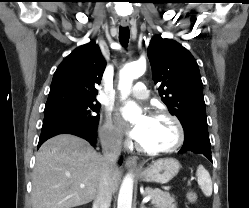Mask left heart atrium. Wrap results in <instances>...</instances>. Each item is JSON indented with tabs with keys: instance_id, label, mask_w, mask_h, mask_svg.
Masks as SVG:
<instances>
[{
	"instance_id": "left-heart-atrium-1",
	"label": "left heart atrium",
	"mask_w": 249,
	"mask_h": 208,
	"mask_svg": "<svg viewBox=\"0 0 249 208\" xmlns=\"http://www.w3.org/2000/svg\"><path fill=\"white\" fill-rule=\"evenodd\" d=\"M146 119L147 117H144L141 121H139L134 126L126 128V133L128 134V136L136 141H139L143 137L144 132H145Z\"/></svg>"
}]
</instances>
